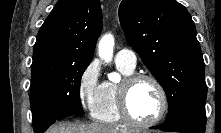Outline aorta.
Instances as JSON below:
<instances>
[{"label":"aorta","instance_id":"aorta-1","mask_svg":"<svg viewBox=\"0 0 221 133\" xmlns=\"http://www.w3.org/2000/svg\"><path fill=\"white\" fill-rule=\"evenodd\" d=\"M114 38L111 34L104 35L98 45V55L106 62H111L113 57ZM110 81L117 82L120 80L118 73H111L108 76Z\"/></svg>","mask_w":221,"mask_h":133}]
</instances>
